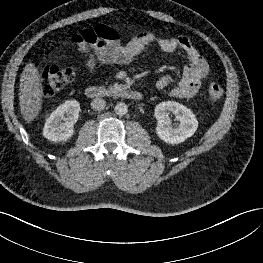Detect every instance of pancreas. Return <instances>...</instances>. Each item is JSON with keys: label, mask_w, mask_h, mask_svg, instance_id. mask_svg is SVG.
<instances>
[{"label": "pancreas", "mask_w": 263, "mask_h": 263, "mask_svg": "<svg viewBox=\"0 0 263 263\" xmlns=\"http://www.w3.org/2000/svg\"><path fill=\"white\" fill-rule=\"evenodd\" d=\"M120 88V86L119 85H113V86H110L109 87V90H117V89H119Z\"/></svg>", "instance_id": "obj_1"}]
</instances>
